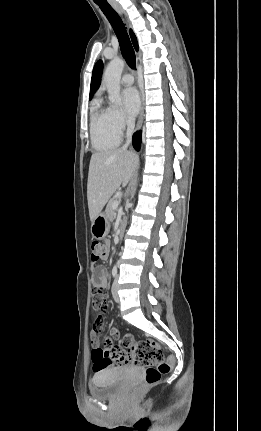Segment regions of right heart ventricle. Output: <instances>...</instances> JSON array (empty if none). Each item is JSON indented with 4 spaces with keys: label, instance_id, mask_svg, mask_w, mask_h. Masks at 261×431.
I'll return each mask as SVG.
<instances>
[{
    "label": "right heart ventricle",
    "instance_id": "1",
    "mask_svg": "<svg viewBox=\"0 0 261 431\" xmlns=\"http://www.w3.org/2000/svg\"><path fill=\"white\" fill-rule=\"evenodd\" d=\"M90 133L93 147L100 152H107L117 148L121 136L109 121L108 111L96 101L91 112Z\"/></svg>",
    "mask_w": 261,
    "mask_h": 431
}]
</instances>
